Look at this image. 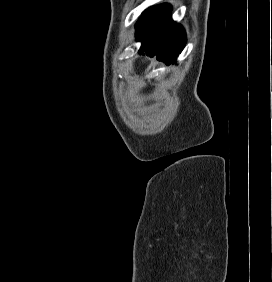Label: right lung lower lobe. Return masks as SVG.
Wrapping results in <instances>:
<instances>
[{"mask_svg":"<svg viewBox=\"0 0 272 282\" xmlns=\"http://www.w3.org/2000/svg\"><path fill=\"white\" fill-rule=\"evenodd\" d=\"M171 7L167 4L147 9L136 24V37L142 42L139 53L156 55L166 64L175 62L186 43L182 26L171 19Z\"/></svg>","mask_w":272,"mask_h":282,"instance_id":"right-lung-lower-lobe-1","label":"right lung lower lobe"}]
</instances>
